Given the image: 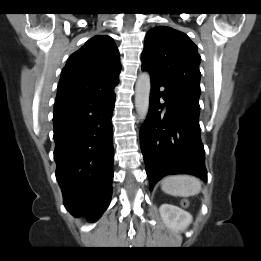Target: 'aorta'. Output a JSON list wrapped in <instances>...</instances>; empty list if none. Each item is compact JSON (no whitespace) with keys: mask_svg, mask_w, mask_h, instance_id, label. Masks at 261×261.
<instances>
[{"mask_svg":"<svg viewBox=\"0 0 261 261\" xmlns=\"http://www.w3.org/2000/svg\"><path fill=\"white\" fill-rule=\"evenodd\" d=\"M150 89V75L143 72L139 75L135 86V107L141 120H145L148 114Z\"/></svg>","mask_w":261,"mask_h":261,"instance_id":"762f6f07","label":"aorta"}]
</instances>
